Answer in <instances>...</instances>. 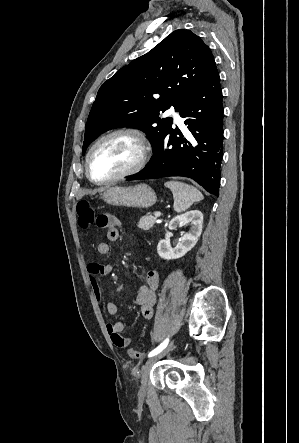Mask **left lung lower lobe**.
<instances>
[{
  "label": "left lung lower lobe",
  "instance_id": "left-lung-lower-lobe-1",
  "mask_svg": "<svg viewBox=\"0 0 299 443\" xmlns=\"http://www.w3.org/2000/svg\"><path fill=\"white\" fill-rule=\"evenodd\" d=\"M190 134L170 128L147 166L127 180L183 176L218 196L222 161L223 105L216 65L179 110Z\"/></svg>",
  "mask_w": 299,
  "mask_h": 443
}]
</instances>
